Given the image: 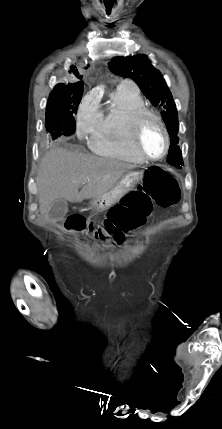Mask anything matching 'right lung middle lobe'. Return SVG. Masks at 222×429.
Listing matches in <instances>:
<instances>
[{
  "mask_svg": "<svg viewBox=\"0 0 222 429\" xmlns=\"http://www.w3.org/2000/svg\"><path fill=\"white\" fill-rule=\"evenodd\" d=\"M83 91L84 86L78 84L67 92L50 93L46 106L45 127L51 140L74 133L75 114Z\"/></svg>",
  "mask_w": 222,
  "mask_h": 429,
  "instance_id": "1",
  "label": "right lung middle lobe"
}]
</instances>
